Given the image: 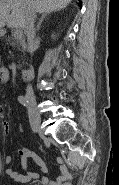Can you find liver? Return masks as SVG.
Masks as SVG:
<instances>
[{"instance_id":"liver-1","label":"liver","mask_w":119,"mask_h":185,"mask_svg":"<svg viewBox=\"0 0 119 185\" xmlns=\"http://www.w3.org/2000/svg\"><path fill=\"white\" fill-rule=\"evenodd\" d=\"M71 0H0V28H23L27 8L37 13L64 9ZM11 12V14H10Z\"/></svg>"}]
</instances>
